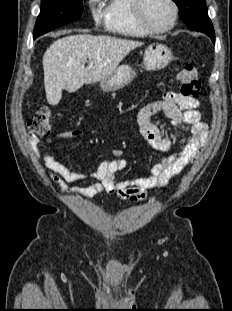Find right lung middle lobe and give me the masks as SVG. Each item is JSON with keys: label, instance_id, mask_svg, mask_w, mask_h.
<instances>
[{"label": "right lung middle lobe", "instance_id": "right-lung-middle-lobe-1", "mask_svg": "<svg viewBox=\"0 0 232 311\" xmlns=\"http://www.w3.org/2000/svg\"><path fill=\"white\" fill-rule=\"evenodd\" d=\"M86 0H42L34 39L64 24L78 20Z\"/></svg>", "mask_w": 232, "mask_h": 311}]
</instances>
